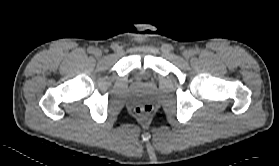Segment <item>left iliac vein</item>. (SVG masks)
Here are the masks:
<instances>
[{
    "mask_svg": "<svg viewBox=\"0 0 279 166\" xmlns=\"http://www.w3.org/2000/svg\"><path fill=\"white\" fill-rule=\"evenodd\" d=\"M183 56H184L186 59L190 58V57L192 56V51H190V50H185V51H183Z\"/></svg>",
    "mask_w": 279,
    "mask_h": 166,
    "instance_id": "obj_1",
    "label": "left iliac vein"
}]
</instances>
